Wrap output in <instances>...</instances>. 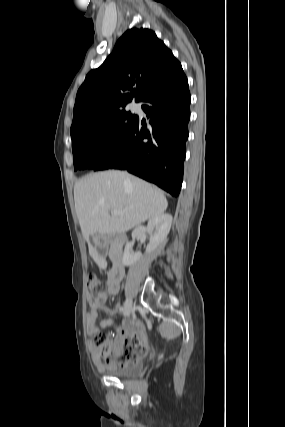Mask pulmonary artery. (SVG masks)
<instances>
[{"mask_svg":"<svg viewBox=\"0 0 285 427\" xmlns=\"http://www.w3.org/2000/svg\"><path fill=\"white\" fill-rule=\"evenodd\" d=\"M136 108H137V106H136V105H133V106H132V109H133V110H135Z\"/></svg>","mask_w":285,"mask_h":427,"instance_id":"e3ab8cb5","label":"pulmonary artery"}]
</instances>
